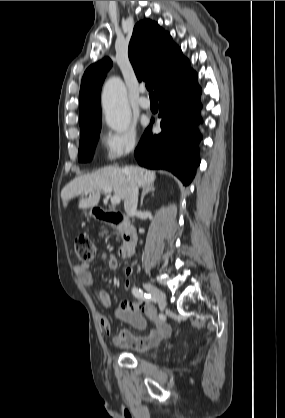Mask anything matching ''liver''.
<instances>
[{"mask_svg":"<svg viewBox=\"0 0 285 418\" xmlns=\"http://www.w3.org/2000/svg\"><path fill=\"white\" fill-rule=\"evenodd\" d=\"M129 178L137 186L143 187L153 184L156 178L154 171L146 170L139 166H108L92 174L83 175L75 178L68 183L61 192L63 206L67 207L68 202L84 193L85 198L79 201L80 209L94 208L100 201L101 191L105 187H110L115 196L125 199L129 189Z\"/></svg>","mask_w":285,"mask_h":418,"instance_id":"1","label":"liver"}]
</instances>
